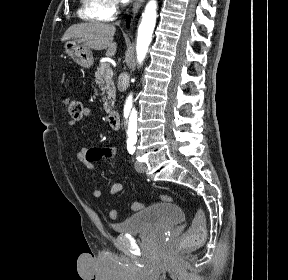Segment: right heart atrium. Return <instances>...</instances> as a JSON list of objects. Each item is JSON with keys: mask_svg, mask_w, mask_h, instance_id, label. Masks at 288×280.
I'll return each instance as SVG.
<instances>
[{"mask_svg": "<svg viewBox=\"0 0 288 280\" xmlns=\"http://www.w3.org/2000/svg\"><path fill=\"white\" fill-rule=\"evenodd\" d=\"M102 13L104 20H112L121 8L122 0H102Z\"/></svg>", "mask_w": 288, "mask_h": 280, "instance_id": "right-heart-atrium-1", "label": "right heart atrium"}]
</instances>
